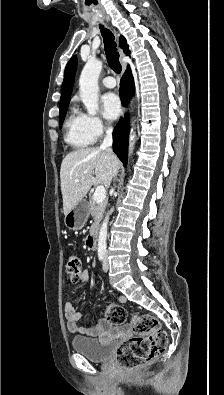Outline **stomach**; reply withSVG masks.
<instances>
[{
	"mask_svg": "<svg viewBox=\"0 0 224 395\" xmlns=\"http://www.w3.org/2000/svg\"><path fill=\"white\" fill-rule=\"evenodd\" d=\"M88 217V204L85 200H81L65 214L64 223L70 230H80L84 227Z\"/></svg>",
	"mask_w": 224,
	"mask_h": 395,
	"instance_id": "stomach-1",
	"label": "stomach"
}]
</instances>
